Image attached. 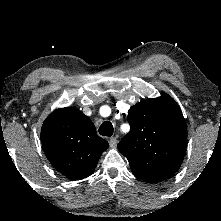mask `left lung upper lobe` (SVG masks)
Masks as SVG:
<instances>
[{
    "instance_id": "left-lung-upper-lobe-1",
    "label": "left lung upper lobe",
    "mask_w": 221,
    "mask_h": 221,
    "mask_svg": "<svg viewBox=\"0 0 221 221\" xmlns=\"http://www.w3.org/2000/svg\"><path fill=\"white\" fill-rule=\"evenodd\" d=\"M131 129L118 144L132 173L157 183L180 167L187 144V127L178 104L167 94L132 106L127 118Z\"/></svg>"
}]
</instances>
